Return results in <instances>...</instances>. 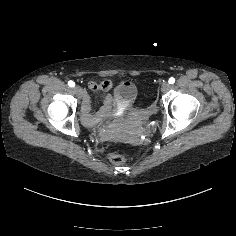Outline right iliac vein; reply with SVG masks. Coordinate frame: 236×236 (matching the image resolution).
<instances>
[{"label": "right iliac vein", "mask_w": 236, "mask_h": 236, "mask_svg": "<svg viewBox=\"0 0 236 236\" xmlns=\"http://www.w3.org/2000/svg\"><path fill=\"white\" fill-rule=\"evenodd\" d=\"M73 90H74L75 94H76L79 98H82V97H83L84 92H83V90H82L79 86H75V87L73 88Z\"/></svg>", "instance_id": "obj_1"}]
</instances>
